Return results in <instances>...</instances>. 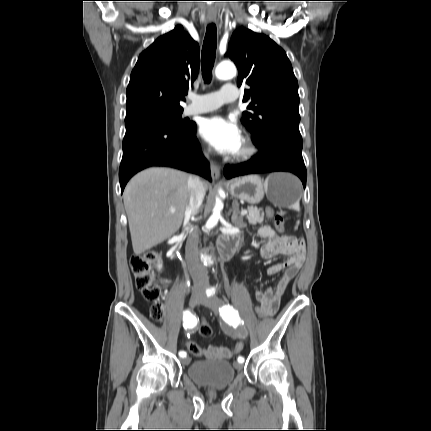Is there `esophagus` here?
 Returning a JSON list of instances; mask_svg holds the SVG:
<instances>
[{
	"instance_id": "34e87169",
	"label": "esophagus",
	"mask_w": 431,
	"mask_h": 431,
	"mask_svg": "<svg viewBox=\"0 0 431 431\" xmlns=\"http://www.w3.org/2000/svg\"><path fill=\"white\" fill-rule=\"evenodd\" d=\"M208 21L211 23L216 22V18L208 17ZM210 168L213 179H218L220 175V167L216 163L212 162Z\"/></svg>"
}]
</instances>
